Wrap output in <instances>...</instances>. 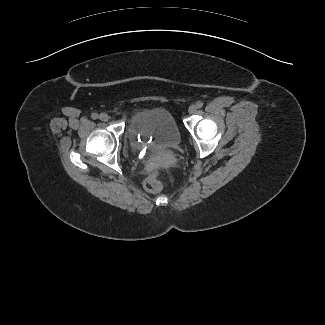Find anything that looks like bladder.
I'll list each match as a JSON object with an SVG mask.
<instances>
[{
    "mask_svg": "<svg viewBox=\"0 0 325 325\" xmlns=\"http://www.w3.org/2000/svg\"><path fill=\"white\" fill-rule=\"evenodd\" d=\"M128 136L132 146L171 150L179 147L181 132L172 115L165 108L143 109L131 116Z\"/></svg>",
    "mask_w": 325,
    "mask_h": 325,
    "instance_id": "obj_1",
    "label": "bladder"
}]
</instances>
